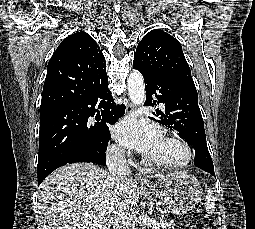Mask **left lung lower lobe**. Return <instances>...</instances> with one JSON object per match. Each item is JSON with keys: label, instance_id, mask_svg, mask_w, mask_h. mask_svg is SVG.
<instances>
[{"label": "left lung lower lobe", "instance_id": "0a47b994", "mask_svg": "<svg viewBox=\"0 0 255 229\" xmlns=\"http://www.w3.org/2000/svg\"><path fill=\"white\" fill-rule=\"evenodd\" d=\"M146 89V106H151L152 95L155 94L159 103L165 104V114L153 113L159 116L157 120L162 125L180 134L188 135L195 149L194 165L215 177L214 166L207 148L203 118L198 106L196 88L179 79L167 76L142 74ZM156 103V101H153ZM153 120H155L153 118Z\"/></svg>", "mask_w": 255, "mask_h": 229}]
</instances>
